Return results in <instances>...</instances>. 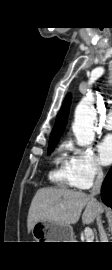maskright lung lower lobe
Instances as JSON below:
<instances>
[{
	"label": "right lung lower lobe",
	"mask_w": 112,
	"mask_h": 270,
	"mask_svg": "<svg viewBox=\"0 0 112 270\" xmlns=\"http://www.w3.org/2000/svg\"><path fill=\"white\" fill-rule=\"evenodd\" d=\"M101 198L104 204L112 208V167L103 182Z\"/></svg>",
	"instance_id": "right-lung-lower-lobe-1"
}]
</instances>
